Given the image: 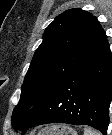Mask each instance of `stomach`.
I'll use <instances>...</instances> for the list:
<instances>
[{"instance_id":"stomach-1","label":"stomach","mask_w":112,"mask_h":135,"mask_svg":"<svg viewBox=\"0 0 112 135\" xmlns=\"http://www.w3.org/2000/svg\"><path fill=\"white\" fill-rule=\"evenodd\" d=\"M43 135H77V133L70 127L65 125H54L48 128Z\"/></svg>"}]
</instances>
